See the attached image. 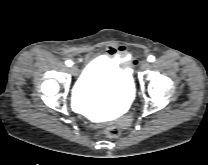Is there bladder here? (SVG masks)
I'll return each instance as SVG.
<instances>
[{
	"label": "bladder",
	"mask_w": 208,
	"mask_h": 165,
	"mask_svg": "<svg viewBox=\"0 0 208 165\" xmlns=\"http://www.w3.org/2000/svg\"><path fill=\"white\" fill-rule=\"evenodd\" d=\"M133 94L134 84L129 70L101 56L91 61L80 75L74 99L82 107L117 106L128 103Z\"/></svg>",
	"instance_id": "1"
}]
</instances>
